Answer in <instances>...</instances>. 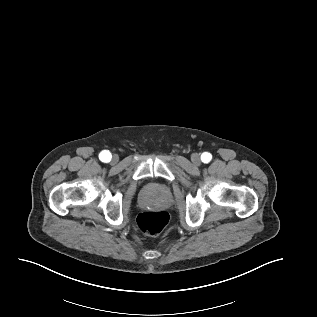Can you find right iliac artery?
I'll return each mask as SVG.
<instances>
[{"label":"right iliac artery","instance_id":"82829eb1","mask_svg":"<svg viewBox=\"0 0 317 317\" xmlns=\"http://www.w3.org/2000/svg\"><path fill=\"white\" fill-rule=\"evenodd\" d=\"M99 158L103 162H109L111 160L112 156H111V153L109 151L104 150L99 154Z\"/></svg>","mask_w":317,"mask_h":317}]
</instances>
